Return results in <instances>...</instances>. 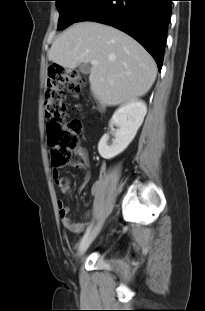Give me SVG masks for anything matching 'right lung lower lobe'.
Returning a JSON list of instances; mask_svg holds the SVG:
<instances>
[{
	"mask_svg": "<svg viewBox=\"0 0 205 311\" xmlns=\"http://www.w3.org/2000/svg\"><path fill=\"white\" fill-rule=\"evenodd\" d=\"M173 0H96L76 22L111 25L136 39L155 59L164 57Z\"/></svg>",
	"mask_w": 205,
	"mask_h": 311,
	"instance_id": "1",
	"label": "right lung lower lobe"
}]
</instances>
